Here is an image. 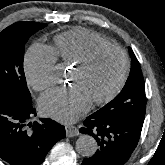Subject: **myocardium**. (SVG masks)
Returning <instances> with one entry per match:
<instances>
[{
    "label": "myocardium",
    "mask_w": 165,
    "mask_h": 165,
    "mask_svg": "<svg viewBox=\"0 0 165 165\" xmlns=\"http://www.w3.org/2000/svg\"><path fill=\"white\" fill-rule=\"evenodd\" d=\"M104 50H114L118 53H120L122 60H123V66H122V71L121 74L118 78V81L116 82L115 86L113 89L106 94L105 96L95 99L92 102L94 105H103L111 101L122 89L127 75L129 71V58L127 53L125 52L124 49L121 47L108 43V44H101L93 47L78 63L75 64V68L79 70H83L87 68L90 63L93 61V59L102 51Z\"/></svg>",
    "instance_id": "1"
}]
</instances>
